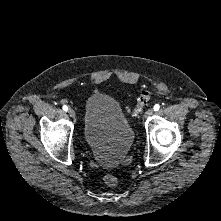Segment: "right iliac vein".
I'll use <instances>...</instances> for the list:
<instances>
[{"label": "right iliac vein", "mask_w": 221, "mask_h": 221, "mask_svg": "<svg viewBox=\"0 0 221 221\" xmlns=\"http://www.w3.org/2000/svg\"><path fill=\"white\" fill-rule=\"evenodd\" d=\"M68 114L70 117L74 118L75 117V111L73 109H69Z\"/></svg>", "instance_id": "63e3f726"}]
</instances>
